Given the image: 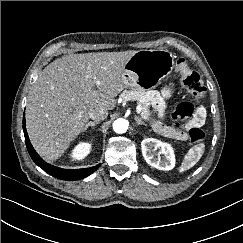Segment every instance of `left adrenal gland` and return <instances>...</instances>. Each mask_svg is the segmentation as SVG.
Here are the masks:
<instances>
[{"instance_id":"1","label":"left adrenal gland","mask_w":243,"mask_h":243,"mask_svg":"<svg viewBox=\"0 0 243 243\" xmlns=\"http://www.w3.org/2000/svg\"><path fill=\"white\" fill-rule=\"evenodd\" d=\"M135 121H136V125H147V124H145L142 120H141V118H139L138 116H135Z\"/></svg>"}]
</instances>
